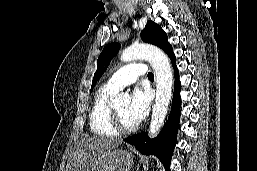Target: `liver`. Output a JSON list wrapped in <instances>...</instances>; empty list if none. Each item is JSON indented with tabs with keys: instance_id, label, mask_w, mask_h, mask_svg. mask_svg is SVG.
Masks as SVG:
<instances>
[{
	"instance_id": "1",
	"label": "liver",
	"mask_w": 257,
	"mask_h": 171,
	"mask_svg": "<svg viewBox=\"0 0 257 171\" xmlns=\"http://www.w3.org/2000/svg\"><path fill=\"white\" fill-rule=\"evenodd\" d=\"M121 143V140L114 138H81L68 158L66 171H93L101 157Z\"/></svg>"
}]
</instances>
